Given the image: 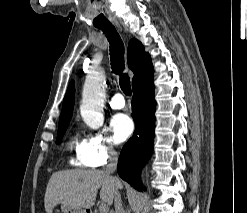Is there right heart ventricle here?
Returning a JSON list of instances; mask_svg holds the SVG:
<instances>
[{
	"label": "right heart ventricle",
	"mask_w": 247,
	"mask_h": 213,
	"mask_svg": "<svg viewBox=\"0 0 247 213\" xmlns=\"http://www.w3.org/2000/svg\"><path fill=\"white\" fill-rule=\"evenodd\" d=\"M67 147L75 152V158L72 159L73 164L77 166H87L82 158V150L84 147V141L81 140L77 135L71 137L67 144Z\"/></svg>",
	"instance_id": "e07e8e85"
}]
</instances>
